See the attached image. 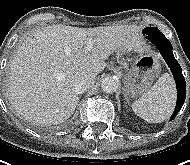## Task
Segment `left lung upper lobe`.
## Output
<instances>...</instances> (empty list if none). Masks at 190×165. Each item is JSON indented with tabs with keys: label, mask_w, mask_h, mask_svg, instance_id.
I'll return each mask as SVG.
<instances>
[{
	"label": "left lung upper lobe",
	"mask_w": 190,
	"mask_h": 165,
	"mask_svg": "<svg viewBox=\"0 0 190 165\" xmlns=\"http://www.w3.org/2000/svg\"><path fill=\"white\" fill-rule=\"evenodd\" d=\"M143 34H145L146 38L149 40L151 37L162 33L156 27H147L143 30Z\"/></svg>",
	"instance_id": "obj_1"
}]
</instances>
